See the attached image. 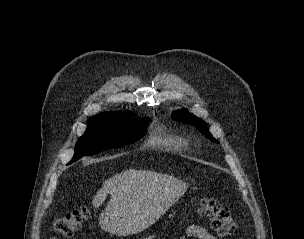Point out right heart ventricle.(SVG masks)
Segmentation results:
<instances>
[{
    "label": "right heart ventricle",
    "mask_w": 304,
    "mask_h": 239,
    "mask_svg": "<svg viewBox=\"0 0 304 239\" xmlns=\"http://www.w3.org/2000/svg\"><path fill=\"white\" fill-rule=\"evenodd\" d=\"M148 144L153 147H162L175 152L183 151L187 146L186 141L182 138L168 134L161 129L150 136Z\"/></svg>",
    "instance_id": "right-heart-ventricle-1"
}]
</instances>
